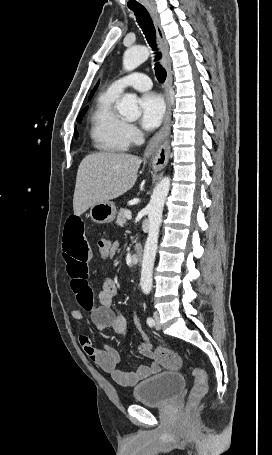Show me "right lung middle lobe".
<instances>
[{"label": "right lung middle lobe", "mask_w": 272, "mask_h": 455, "mask_svg": "<svg viewBox=\"0 0 272 455\" xmlns=\"http://www.w3.org/2000/svg\"><path fill=\"white\" fill-rule=\"evenodd\" d=\"M86 110H87V107L82 109V111L80 112V115L77 117V122H79V123L81 122V117L84 115ZM74 136L77 138V136H78L77 131H75Z\"/></svg>", "instance_id": "obj_1"}]
</instances>
